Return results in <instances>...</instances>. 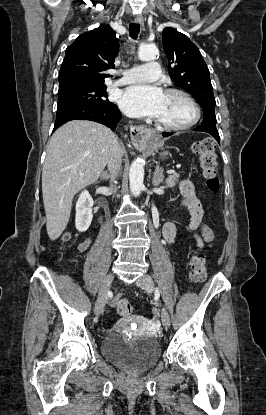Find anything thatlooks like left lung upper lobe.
Wrapping results in <instances>:
<instances>
[{"label": "left lung upper lobe", "instance_id": "5c2ea615", "mask_svg": "<svg viewBox=\"0 0 266 415\" xmlns=\"http://www.w3.org/2000/svg\"><path fill=\"white\" fill-rule=\"evenodd\" d=\"M162 43L168 58L169 75L176 86L191 93L203 109V121L195 131L219 137L216 128V105L209 70L199 49L191 40L176 29L163 30Z\"/></svg>", "mask_w": 266, "mask_h": 415}]
</instances>
